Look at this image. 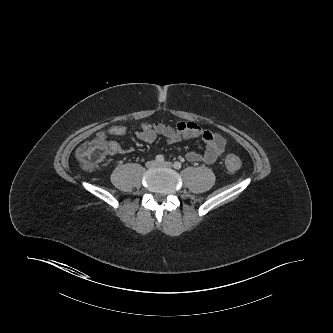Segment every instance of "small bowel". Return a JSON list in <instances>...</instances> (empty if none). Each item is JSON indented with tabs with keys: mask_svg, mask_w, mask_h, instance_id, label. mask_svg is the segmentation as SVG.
Returning a JSON list of instances; mask_svg holds the SVG:
<instances>
[{
	"mask_svg": "<svg viewBox=\"0 0 333 333\" xmlns=\"http://www.w3.org/2000/svg\"><path fill=\"white\" fill-rule=\"evenodd\" d=\"M127 129L124 126H112L97 133L96 138L107 140L109 136H124ZM158 136L165 138L168 144H175L182 140L201 137L206 145L204 153L189 151L185 158L189 162H202L212 164L222 155L225 148V139L218 133L207 129H202L194 122H178L175 126L164 123L143 124L136 132V137L144 142H154ZM111 148V154L128 153L131 149H123L117 142L108 141Z\"/></svg>",
	"mask_w": 333,
	"mask_h": 333,
	"instance_id": "small-bowel-1",
	"label": "small bowel"
}]
</instances>
